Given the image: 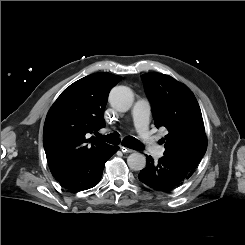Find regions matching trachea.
<instances>
[{
  "label": "trachea",
  "instance_id": "3493384b",
  "mask_svg": "<svg viewBox=\"0 0 245 245\" xmlns=\"http://www.w3.org/2000/svg\"><path fill=\"white\" fill-rule=\"evenodd\" d=\"M97 136L103 139L104 141L114 145L120 144L121 141L119 138V133L117 132L108 134L106 136H102L100 134H98ZM122 144L128 148L135 149V150L143 149V145L140 143V141H138L136 138L131 136L125 137L122 141Z\"/></svg>",
  "mask_w": 245,
  "mask_h": 245
}]
</instances>
